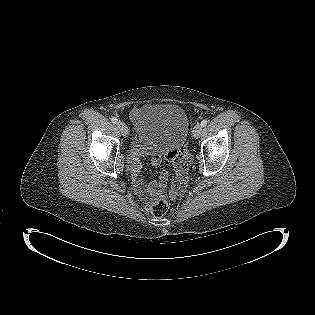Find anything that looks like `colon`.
<instances>
[{"instance_id": "colon-1", "label": "colon", "mask_w": 315, "mask_h": 315, "mask_svg": "<svg viewBox=\"0 0 315 315\" xmlns=\"http://www.w3.org/2000/svg\"><path fill=\"white\" fill-rule=\"evenodd\" d=\"M186 188L185 173L178 174L173 182L172 192L180 194ZM146 210L155 217H162L168 211V202L165 198L159 199L146 206Z\"/></svg>"}]
</instances>
